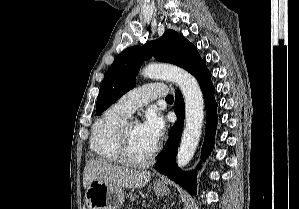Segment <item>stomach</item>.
I'll use <instances>...</instances> for the list:
<instances>
[{
    "label": "stomach",
    "mask_w": 299,
    "mask_h": 209,
    "mask_svg": "<svg viewBox=\"0 0 299 209\" xmlns=\"http://www.w3.org/2000/svg\"><path fill=\"white\" fill-rule=\"evenodd\" d=\"M157 195H167L170 190L162 182L154 184ZM131 200L135 197L129 194ZM125 200L124 189L101 180L92 181L85 192L86 209H120Z\"/></svg>",
    "instance_id": "0dacf381"
}]
</instances>
